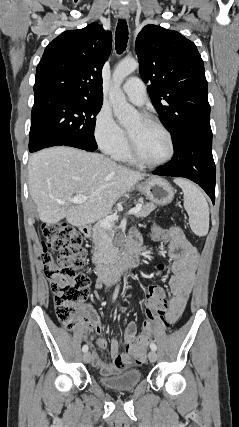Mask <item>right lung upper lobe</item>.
<instances>
[{
    "label": "right lung upper lobe",
    "instance_id": "right-lung-upper-lobe-1",
    "mask_svg": "<svg viewBox=\"0 0 239 427\" xmlns=\"http://www.w3.org/2000/svg\"><path fill=\"white\" fill-rule=\"evenodd\" d=\"M111 42V33L97 23L60 34L48 44L36 68L35 100L102 102V68L110 55Z\"/></svg>",
    "mask_w": 239,
    "mask_h": 427
}]
</instances>
